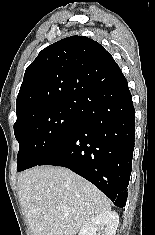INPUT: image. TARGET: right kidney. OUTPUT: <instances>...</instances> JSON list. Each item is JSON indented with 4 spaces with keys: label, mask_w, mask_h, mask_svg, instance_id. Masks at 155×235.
Returning <instances> with one entry per match:
<instances>
[{
    "label": "right kidney",
    "mask_w": 155,
    "mask_h": 235,
    "mask_svg": "<svg viewBox=\"0 0 155 235\" xmlns=\"http://www.w3.org/2000/svg\"><path fill=\"white\" fill-rule=\"evenodd\" d=\"M118 224V214L114 211H110L100 214L86 223L81 228L78 235H115Z\"/></svg>",
    "instance_id": "ca27d5eb"
}]
</instances>
